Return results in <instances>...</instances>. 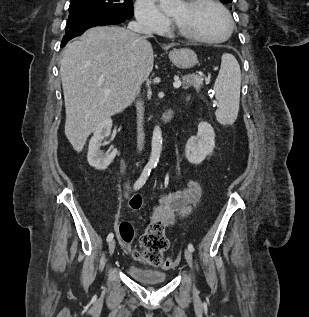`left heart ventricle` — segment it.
<instances>
[{
    "label": "left heart ventricle",
    "instance_id": "b2bd125f",
    "mask_svg": "<svg viewBox=\"0 0 309 317\" xmlns=\"http://www.w3.org/2000/svg\"><path fill=\"white\" fill-rule=\"evenodd\" d=\"M171 16L181 28L202 37L219 38L227 31L224 15L212 5L205 4L191 10L183 2L171 13Z\"/></svg>",
    "mask_w": 309,
    "mask_h": 317
}]
</instances>
